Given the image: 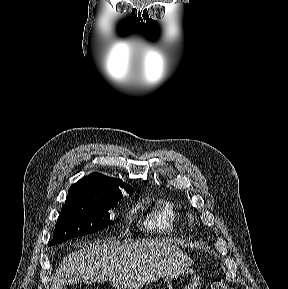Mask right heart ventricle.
I'll return each instance as SVG.
<instances>
[{
	"mask_svg": "<svg viewBox=\"0 0 288 289\" xmlns=\"http://www.w3.org/2000/svg\"><path fill=\"white\" fill-rule=\"evenodd\" d=\"M186 221L183 210L169 199H160L146 219V227L160 233H173Z\"/></svg>",
	"mask_w": 288,
	"mask_h": 289,
	"instance_id": "e07e8e85",
	"label": "right heart ventricle"
}]
</instances>
